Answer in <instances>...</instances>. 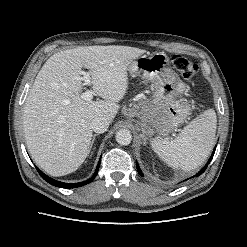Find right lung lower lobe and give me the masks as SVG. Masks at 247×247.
<instances>
[{
	"mask_svg": "<svg viewBox=\"0 0 247 247\" xmlns=\"http://www.w3.org/2000/svg\"><path fill=\"white\" fill-rule=\"evenodd\" d=\"M99 166H100V161L98 163V166L96 168V171H95L94 175L89 180H86V181H83V182H79V183H64V182H60V181H57V180H54V179L48 177L42 171H40L37 167H36V169L39 172V174L42 176V178L45 181H47L48 183H50L51 185H54V186H57V187H61V188H76V187H80V186H83V185H86V184L90 183L96 177V175L98 173Z\"/></svg>",
	"mask_w": 247,
	"mask_h": 247,
	"instance_id": "1",
	"label": "right lung lower lobe"
}]
</instances>
